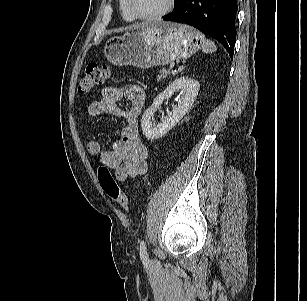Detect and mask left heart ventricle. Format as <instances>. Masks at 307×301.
Listing matches in <instances>:
<instances>
[{"label": "left heart ventricle", "instance_id": "1", "mask_svg": "<svg viewBox=\"0 0 307 301\" xmlns=\"http://www.w3.org/2000/svg\"><path fill=\"white\" fill-rule=\"evenodd\" d=\"M136 10L142 15H151L163 10L168 0H132Z\"/></svg>", "mask_w": 307, "mask_h": 301}]
</instances>
